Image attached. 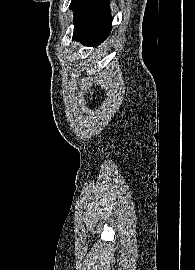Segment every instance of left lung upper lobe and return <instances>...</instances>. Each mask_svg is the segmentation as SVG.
I'll list each match as a JSON object with an SVG mask.
<instances>
[{"mask_svg": "<svg viewBox=\"0 0 195 270\" xmlns=\"http://www.w3.org/2000/svg\"><path fill=\"white\" fill-rule=\"evenodd\" d=\"M83 2H84V0H72L71 1L70 8L72 10H74V17L78 13Z\"/></svg>", "mask_w": 195, "mask_h": 270, "instance_id": "5c2ea615", "label": "left lung upper lobe"}]
</instances>
